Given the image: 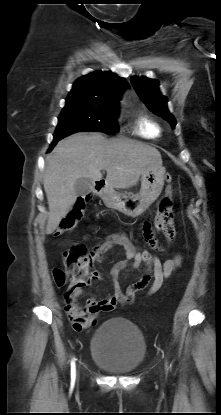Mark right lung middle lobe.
<instances>
[{"label":"right lung middle lobe","instance_id":"right-lung-middle-lobe-1","mask_svg":"<svg viewBox=\"0 0 221 415\" xmlns=\"http://www.w3.org/2000/svg\"><path fill=\"white\" fill-rule=\"evenodd\" d=\"M118 104H104L87 100H66L59 118L54 139H61L78 131H98L114 134Z\"/></svg>","mask_w":221,"mask_h":415}]
</instances>
